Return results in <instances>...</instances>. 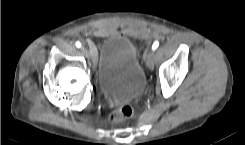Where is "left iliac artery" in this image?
I'll return each instance as SVG.
<instances>
[{
  "mask_svg": "<svg viewBox=\"0 0 245 145\" xmlns=\"http://www.w3.org/2000/svg\"><path fill=\"white\" fill-rule=\"evenodd\" d=\"M158 46H159V42L155 41L152 45V50H155L156 48H158Z\"/></svg>",
  "mask_w": 245,
  "mask_h": 145,
  "instance_id": "44dca946",
  "label": "left iliac artery"
}]
</instances>
